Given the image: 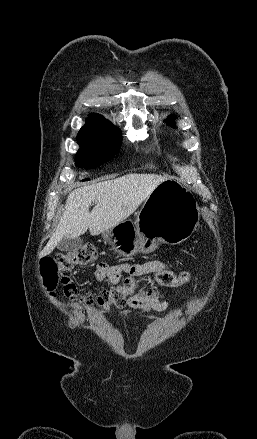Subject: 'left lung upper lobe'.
Wrapping results in <instances>:
<instances>
[{
	"instance_id": "left-lung-upper-lobe-1",
	"label": "left lung upper lobe",
	"mask_w": 257,
	"mask_h": 439,
	"mask_svg": "<svg viewBox=\"0 0 257 439\" xmlns=\"http://www.w3.org/2000/svg\"><path fill=\"white\" fill-rule=\"evenodd\" d=\"M174 120H175L174 115H170V116L167 117L166 123L171 125L172 127H175Z\"/></svg>"
}]
</instances>
